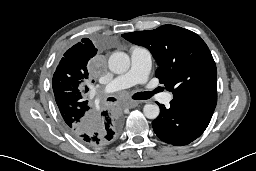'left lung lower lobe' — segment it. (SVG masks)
Returning a JSON list of instances; mask_svg holds the SVG:
<instances>
[{
	"label": "left lung lower lobe",
	"instance_id": "obj_1",
	"mask_svg": "<svg viewBox=\"0 0 256 171\" xmlns=\"http://www.w3.org/2000/svg\"><path fill=\"white\" fill-rule=\"evenodd\" d=\"M160 115L152 122L156 135L168 144L187 145L207 128L212 114L194 105L172 100L170 107L159 104Z\"/></svg>",
	"mask_w": 256,
	"mask_h": 171
}]
</instances>
